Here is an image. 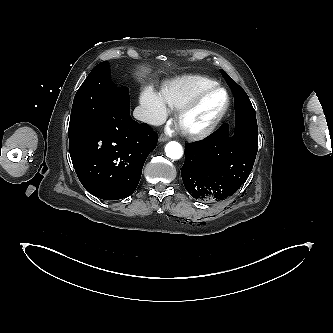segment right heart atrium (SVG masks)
<instances>
[{"mask_svg":"<svg viewBox=\"0 0 333 333\" xmlns=\"http://www.w3.org/2000/svg\"><path fill=\"white\" fill-rule=\"evenodd\" d=\"M140 103L143 108V118L150 124L162 122L168 114L167 105L161 95L150 87L142 92Z\"/></svg>","mask_w":333,"mask_h":333,"instance_id":"obj_1","label":"right heart atrium"}]
</instances>
